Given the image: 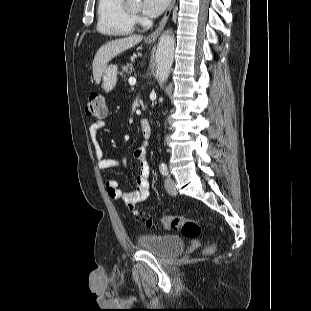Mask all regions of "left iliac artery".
Returning <instances> with one entry per match:
<instances>
[{"mask_svg": "<svg viewBox=\"0 0 311 311\" xmlns=\"http://www.w3.org/2000/svg\"><path fill=\"white\" fill-rule=\"evenodd\" d=\"M160 172L163 176L168 175V168L167 165L165 163H161L159 166Z\"/></svg>", "mask_w": 311, "mask_h": 311, "instance_id": "1", "label": "left iliac artery"}]
</instances>
